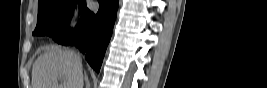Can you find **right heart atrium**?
I'll return each instance as SVG.
<instances>
[{
    "instance_id": "d8ad5b80",
    "label": "right heart atrium",
    "mask_w": 267,
    "mask_h": 88,
    "mask_svg": "<svg viewBox=\"0 0 267 88\" xmlns=\"http://www.w3.org/2000/svg\"><path fill=\"white\" fill-rule=\"evenodd\" d=\"M71 25H74V21H73V19L71 20Z\"/></svg>"
}]
</instances>
